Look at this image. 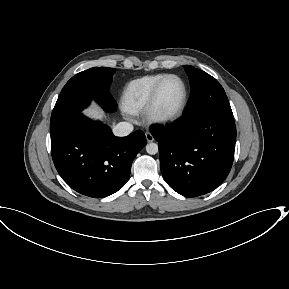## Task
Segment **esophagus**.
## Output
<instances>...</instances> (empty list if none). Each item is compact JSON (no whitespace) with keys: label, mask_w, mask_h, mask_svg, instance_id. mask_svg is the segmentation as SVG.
Masks as SVG:
<instances>
[{"label":"esophagus","mask_w":289,"mask_h":289,"mask_svg":"<svg viewBox=\"0 0 289 289\" xmlns=\"http://www.w3.org/2000/svg\"><path fill=\"white\" fill-rule=\"evenodd\" d=\"M145 137H146L147 142L154 141V137H153V135L150 132H146L145 133Z\"/></svg>","instance_id":"esophagus-1"}]
</instances>
